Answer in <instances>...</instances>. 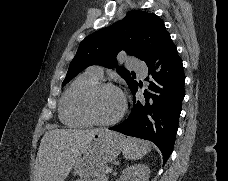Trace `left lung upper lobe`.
I'll use <instances>...</instances> for the list:
<instances>
[{
	"label": "left lung upper lobe",
	"mask_w": 228,
	"mask_h": 181,
	"mask_svg": "<svg viewBox=\"0 0 228 181\" xmlns=\"http://www.w3.org/2000/svg\"><path fill=\"white\" fill-rule=\"evenodd\" d=\"M168 37L164 23L155 14L129 11L123 20L92 33L81 42L62 86L88 66L101 65L116 67L131 88L137 83L135 73L117 66V54L124 50L128 55L147 61Z\"/></svg>",
	"instance_id": "1"
}]
</instances>
